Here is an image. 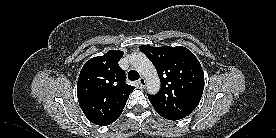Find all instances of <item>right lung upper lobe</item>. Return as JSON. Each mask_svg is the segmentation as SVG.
I'll list each match as a JSON object with an SVG mask.
<instances>
[{"instance_id":"cb5924a9","label":"right lung upper lobe","mask_w":276,"mask_h":138,"mask_svg":"<svg viewBox=\"0 0 276 138\" xmlns=\"http://www.w3.org/2000/svg\"><path fill=\"white\" fill-rule=\"evenodd\" d=\"M122 56V51L109 50L103 56L91 58L82 67L77 84L78 101L94 124L113 123L135 89L126 84L125 73L118 65Z\"/></svg>"}]
</instances>
